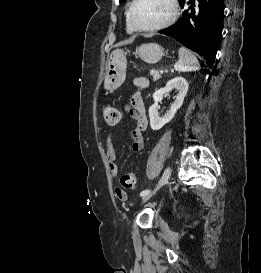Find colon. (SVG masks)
Masks as SVG:
<instances>
[{"label": "colon", "mask_w": 261, "mask_h": 273, "mask_svg": "<svg viewBox=\"0 0 261 273\" xmlns=\"http://www.w3.org/2000/svg\"><path fill=\"white\" fill-rule=\"evenodd\" d=\"M103 116L106 123L110 126H115L119 123L120 112L117 108L112 106L103 107ZM120 190H134L137 187V177L133 172L125 173L120 178Z\"/></svg>", "instance_id": "1"}]
</instances>
